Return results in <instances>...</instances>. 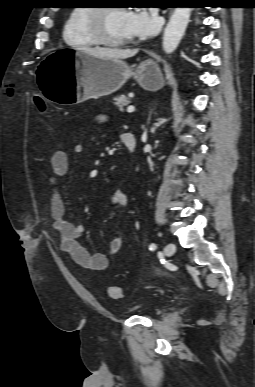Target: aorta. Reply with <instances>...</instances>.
I'll return each mask as SVG.
<instances>
[{
	"mask_svg": "<svg viewBox=\"0 0 255 387\" xmlns=\"http://www.w3.org/2000/svg\"><path fill=\"white\" fill-rule=\"evenodd\" d=\"M191 8L176 7L163 35L162 47L166 54L173 53L178 47L189 23Z\"/></svg>",
	"mask_w": 255,
	"mask_h": 387,
	"instance_id": "762f6f07",
	"label": "aorta"
}]
</instances>
